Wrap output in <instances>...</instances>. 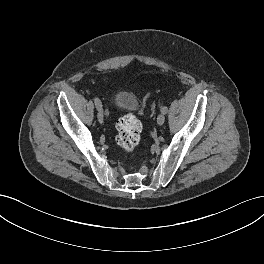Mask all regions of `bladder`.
<instances>
[{
  "label": "bladder",
  "instance_id": "bladder-1",
  "mask_svg": "<svg viewBox=\"0 0 264 264\" xmlns=\"http://www.w3.org/2000/svg\"><path fill=\"white\" fill-rule=\"evenodd\" d=\"M114 105L118 110L128 111L137 108L136 97L127 90H118L114 95Z\"/></svg>",
  "mask_w": 264,
  "mask_h": 264
}]
</instances>
